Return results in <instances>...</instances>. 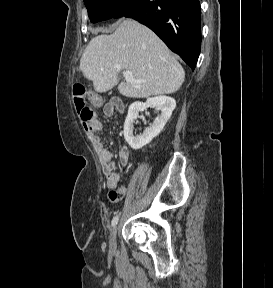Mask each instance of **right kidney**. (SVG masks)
<instances>
[{
	"label": "right kidney",
	"mask_w": 273,
	"mask_h": 288,
	"mask_svg": "<svg viewBox=\"0 0 273 288\" xmlns=\"http://www.w3.org/2000/svg\"><path fill=\"white\" fill-rule=\"evenodd\" d=\"M149 107H157L161 113L154 119L142 134H133V123L137 119L139 112L144 111ZM176 107V101L172 97L158 96L148 98L145 103L135 102L130 105L128 115L124 123V138L129 146L138 150L149 144L163 130L165 124L170 119L173 110Z\"/></svg>",
	"instance_id": "obj_1"
}]
</instances>
